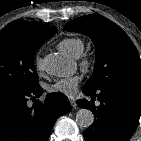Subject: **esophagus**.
<instances>
[{
	"label": "esophagus",
	"mask_w": 141,
	"mask_h": 141,
	"mask_svg": "<svg viewBox=\"0 0 141 141\" xmlns=\"http://www.w3.org/2000/svg\"><path fill=\"white\" fill-rule=\"evenodd\" d=\"M69 101L72 107L76 108V100L73 97H69Z\"/></svg>",
	"instance_id": "1"
}]
</instances>
